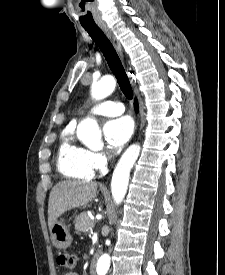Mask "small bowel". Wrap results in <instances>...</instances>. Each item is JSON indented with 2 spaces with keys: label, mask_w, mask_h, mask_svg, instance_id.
Wrapping results in <instances>:
<instances>
[{
  "label": "small bowel",
  "mask_w": 225,
  "mask_h": 275,
  "mask_svg": "<svg viewBox=\"0 0 225 275\" xmlns=\"http://www.w3.org/2000/svg\"><path fill=\"white\" fill-rule=\"evenodd\" d=\"M63 275H79L77 272H66Z\"/></svg>",
  "instance_id": "c3829d8e"
}]
</instances>
